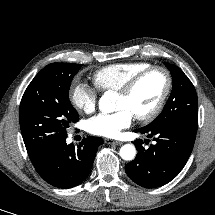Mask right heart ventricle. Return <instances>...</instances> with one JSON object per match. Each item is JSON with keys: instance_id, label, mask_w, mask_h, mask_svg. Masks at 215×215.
Instances as JSON below:
<instances>
[{"instance_id": "1", "label": "right heart ventricle", "mask_w": 215, "mask_h": 215, "mask_svg": "<svg viewBox=\"0 0 215 215\" xmlns=\"http://www.w3.org/2000/svg\"><path fill=\"white\" fill-rule=\"evenodd\" d=\"M147 62H124L98 69L93 80L96 87L103 91H118L134 75L150 67Z\"/></svg>"}]
</instances>
